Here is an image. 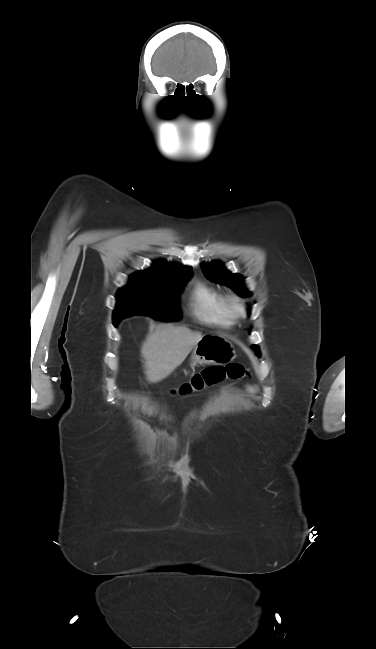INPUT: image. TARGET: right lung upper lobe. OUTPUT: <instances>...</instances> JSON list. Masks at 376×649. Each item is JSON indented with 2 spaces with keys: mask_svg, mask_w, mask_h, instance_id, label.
<instances>
[{
  "mask_svg": "<svg viewBox=\"0 0 376 649\" xmlns=\"http://www.w3.org/2000/svg\"><path fill=\"white\" fill-rule=\"evenodd\" d=\"M191 271V267H185L175 263L171 264L167 263V261H155L150 268L138 273L152 277H163L169 275H180Z\"/></svg>",
  "mask_w": 376,
  "mask_h": 649,
  "instance_id": "cb5924a9",
  "label": "right lung upper lobe"
}]
</instances>
